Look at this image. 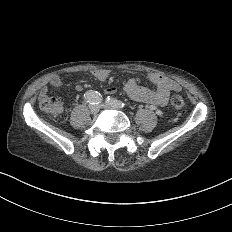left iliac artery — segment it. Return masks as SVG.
<instances>
[{"label": "left iliac artery", "instance_id": "1", "mask_svg": "<svg viewBox=\"0 0 232 232\" xmlns=\"http://www.w3.org/2000/svg\"><path fill=\"white\" fill-rule=\"evenodd\" d=\"M106 104L116 109H124L127 106L124 102L110 97L106 99Z\"/></svg>", "mask_w": 232, "mask_h": 232}]
</instances>
